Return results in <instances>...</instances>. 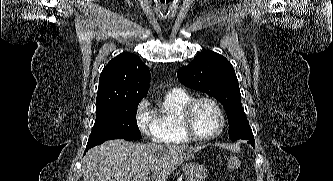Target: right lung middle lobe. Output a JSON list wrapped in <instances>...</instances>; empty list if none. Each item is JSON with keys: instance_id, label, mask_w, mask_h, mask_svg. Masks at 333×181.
<instances>
[{"instance_id": "1", "label": "right lung middle lobe", "mask_w": 333, "mask_h": 181, "mask_svg": "<svg viewBox=\"0 0 333 181\" xmlns=\"http://www.w3.org/2000/svg\"><path fill=\"white\" fill-rule=\"evenodd\" d=\"M140 100L96 109V120L86 148L111 139L137 140L141 133L136 111Z\"/></svg>"}]
</instances>
